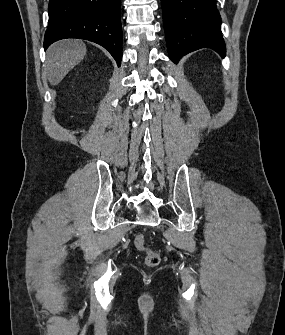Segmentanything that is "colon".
<instances>
[{
    "mask_svg": "<svg viewBox=\"0 0 285 335\" xmlns=\"http://www.w3.org/2000/svg\"><path fill=\"white\" fill-rule=\"evenodd\" d=\"M134 245L138 250L145 253V264L149 267L157 266L160 263V255L157 251L147 248L146 240L143 234H138L134 238Z\"/></svg>",
    "mask_w": 285,
    "mask_h": 335,
    "instance_id": "1",
    "label": "colon"
}]
</instances>
